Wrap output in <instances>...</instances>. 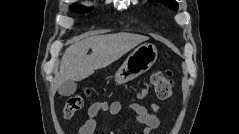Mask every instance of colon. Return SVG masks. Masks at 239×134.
<instances>
[{
    "label": "colon",
    "mask_w": 239,
    "mask_h": 134,
    "mask_svg": "<svg viewBox=\"0 0 239 134\" xmlns=\"http://www.w3.org/2000/svg\"><path fill=\"white\" fill-rule=\"evenodd\" d=\"M173 84L172 72L170 70L165 72L157 71L151 75L143 96L146 97L149 91H152L158 98L167 99L172 95ZM89 95L90 90L85 89L83 92L69 97L63 108L64 117L70 119L79 112L84 107L85 100Z\"/></svg>",
    "instance_id": "obj_1"
}]
</instances>
